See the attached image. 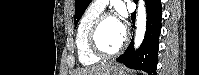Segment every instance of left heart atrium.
<instances>
[{"label":"left heart atrium","instance_id":"left-heart-atrium-1","mask_svg":"<svg viewBox=\"0 0 199 75\" xmlns=\"http://www.w3.org/2000/svg\"><path fill=\"white\" fill-rule=\"evenodd\" d=\"M119 28L121 29L122 32L125 33L126 31V19H125V15L120 14L119 16H117L115 18Z\"/></svg>","mask_w":199,"mask_h":75}]
</instances>
